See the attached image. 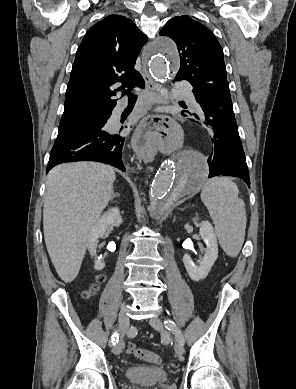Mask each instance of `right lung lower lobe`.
<instances>
[{
    "instance_id": "1",
    "label": "right lung lower lobe",
    "mask_w": 296,
    "mask_h": 389,
    "mask_svg": "<svg viewBox=\"0 0 296 389\" xmlns=\"http://www.w3.org/2000/svg\"><path fill=\"white\" fill-rule=\"evenodd\" d=\"M144 85L142 79L138 86L144 87ZM110 115L93 130L57 139L50 152L46 173L60 163L74 161H97L125 171L121 160L125 137L111 134L104 128L106 119Z\"/></svg>"
}]
</instances>
